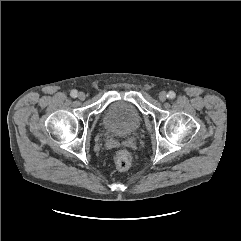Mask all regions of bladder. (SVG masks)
<instances>
[{"instance_id": "31cf9c89", "label": "bladder", "mask_w": 241, "mask_h": 241, "mask_svg": "<svg viewBox=\"0 0 241 241\" xmlns=\"http://www.w3.org/2000/svg\"><path fill=\"white\" fill-rule=\"evenodd\" d=\"M141 114L137 107L126 100H114L106 105L102 113V125L111 134L128 136L139 129Z\"/></svg>"}]
</instances>
